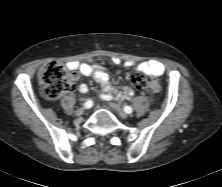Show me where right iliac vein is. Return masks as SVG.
<instances>
[{
  "mask_svg": "<svg viewBox=\"0 0 222 187\" xmlns=\"http://www.w3.org/2000/svg\"><path fill=\"white\" fill-rule=\"evenodd\" d=\"M84 112H85V108L84 107H80V108L76 109L75 115L76 116H81Z\"/></svg>",
  "mask_w": 222,
  "mask_h": 187,
  "instance_id": "right-iliac-vein-1",
  "label": "right iliac vein"
}]
</instances>
